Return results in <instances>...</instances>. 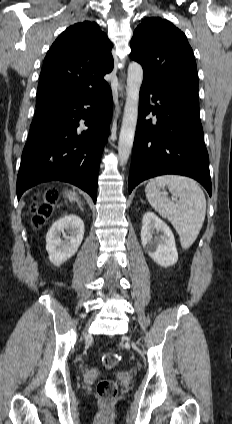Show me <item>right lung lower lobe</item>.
<instances>
[{"label":"right lung lower lobe","mask_w":232,"mask_h":424,"mask_svg":"<svg viewBox=\"0 0 232 424\" xmlns=\"http://www.w3.org/2000/svg\"><path fill=\"white\" fill-rule=\"evenodd\" d=\"M84 105L92 106L88 113L82 110ZM112 110L109 87L82 100L37 106L18 172V199L38 183L60 180L80 187L96 202ZM81 118L87 120L88 130L79 133Z\"/></svg>","instance_id":"98d812e1"}]
</instances>
